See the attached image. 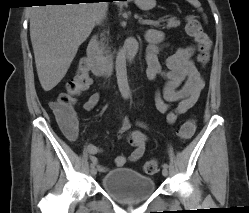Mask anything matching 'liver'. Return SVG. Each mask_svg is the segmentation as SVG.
<instances>
[{"instance_id": "obj_1", "label": "liver", "mask_w": 249, "mask_h": 213, "mask_svg": "<svg viewBox=\"0 0 249 213\" xmlns=\"http://www.w3.org/2000/svg\"><path fill=\"white\" fill-rule=\"evenodd\" d=\"M106 2L33 6L30 38L44 91L66 75L79 46L89 37Z\"/></svg>"}]
</instances>
